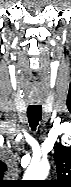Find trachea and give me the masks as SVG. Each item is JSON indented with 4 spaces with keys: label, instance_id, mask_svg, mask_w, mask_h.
I'll list each match as a JSON object with an SVG mask.
<instances>
[{
    "label": "trachea",
    "instance_id": "trachea-1",
    "mask_svg": "<svg viewBox=\"0 0 71 187\" xmlns=\"http://www.w3.org/2000/svg\"><path fill=\"white\" fill-rule=\"evenodd\" d=\"M28 121L33 131L42 118V107L40 105H29L27 110Z\"/></svg>",
    "mask_w": 71,
    "mask_h": 187
}]
</instances>
